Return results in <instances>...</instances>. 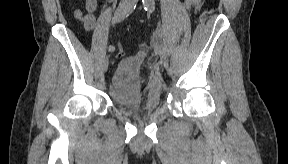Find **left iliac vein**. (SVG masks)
Returning <instances> with one entry per match:
<instances>
[{
	"instance_id": "1",
	"label": "left iliac vein",
	"mask_w": 288,
	"mask_h": 164,
	"mask_svg": "<svg viewBox=\"0 0 288 164\" xmlns=\"http://www.w3.org/2000/svg\"><path fill=\"white\" fill-rule=\"evenodd\" d=\"M161 63H162V65H164V66H165V64H166V60H165V57H164V55L162 56V60H161Z\"/></svg>"
}]
</instances>
